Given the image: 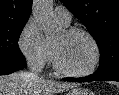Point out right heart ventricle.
<instances>
[{
	"mask_svg": "<svg viewBox=\"0 0 119 95\" xmlns=\"http://www.w3.org/2000/svg\"><path fill=\"white\" fill-rule=\"evenodd\" d=\"M52 57H53V46H52Z\"/></svg>",
	"mask_w": 119,
	"mask_h": 95,
	"instance_id": "e07e8e85",
	"label": "right heart ventricle"
}]
</instances>
